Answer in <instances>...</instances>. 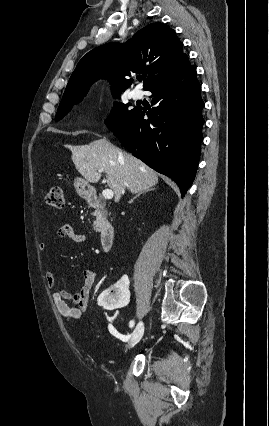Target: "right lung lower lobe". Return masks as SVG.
<instances>
[{
  "instance_id": "right-lung-lower-lobe-1",
  "label": "right lung lower lobe",
  "mask_w": 269,
  "mask_h": 426,
  "mask_svg": "<svg viewBox=\"0 0 269 426\" xmlns=\"http://www.w3.org/2000/svg\"><path fill=\"white\" fill-rule=\"evenodd\" d=\"M147 90L157 106L149 112L135 107L112 131L135 157L173 179L183 197L194 180L203 139L204 102L196 70L190 65Z\"/></svg>"
}]
</instances>
